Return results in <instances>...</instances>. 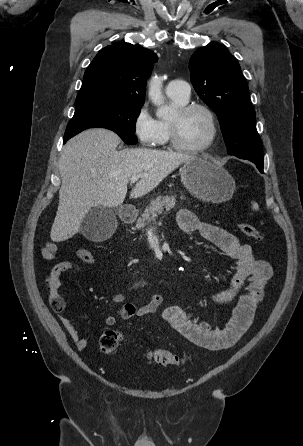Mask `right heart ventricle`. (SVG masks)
<instances>
[{"label":"right heart ventricle","mask_w":303,"mask_h":446,"mask_svg":"<svg viewBox=\"0 0 303 446\" xmlns=\"http://www.w3.org/2000/svg\"><path fill=\"white\" fill-rule=\"evenodd\" d=\"M172 102L180 107L182 105H185L188 102V99H182L177 96L169 95ZM159 127H160V138L157 142V145L163 146L169 141V129H168V121L165 119L158 120Z\"/></svg>","instance_id":"right-heart-ventricle-1"}]
</instances>
